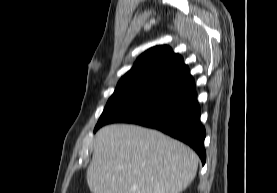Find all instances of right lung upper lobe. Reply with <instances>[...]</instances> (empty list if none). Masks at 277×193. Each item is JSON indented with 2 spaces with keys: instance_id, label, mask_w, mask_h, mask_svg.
Instances as JSON below:
<instances>
[{
  "instance_id": "cb5924a9",
  "label": "right lung upper lobe",
  "mask_w": 277,
  "mask_h": 193,
  "mask_svg": "<svg viewBox=\"0 0 277 193\" xmlns=\"http://www.w3.org/2000/svg\"><path fill=\"white\" fill-rule=\"evenodd\" d=\"M189 68L169 46L150 48L118 82L116 90L152 93L189 77Z\"/></svg>"
}]
</instances>
